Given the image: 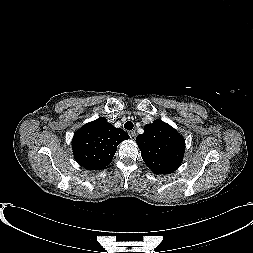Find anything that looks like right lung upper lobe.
Returning <instances> with one entry per match:
<instances>
[{
    "instance_id": "1",
    "label": "right lung upper lobe",
    "mask_w": 253,
    "mask_h": 253,
    "mask_svg": "<svg viewBox=\"0 0 253 253\" xmlns=\"http://www.w3.org/2000/svg\"><path fill=\"white\" fill-rule=\"evenodd\" d=\"M129 135L115 128L104 117L85 124L75 132L72 147L76 162L87 170H100L109 165L117 146Z\"/></svg>"
}]
</instances>
